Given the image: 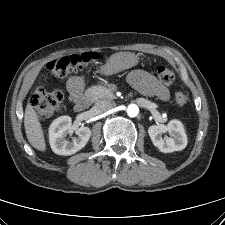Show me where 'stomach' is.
<instances>
[{
    "label": "stomach",
    "instance_id": "stomach-1",
    "mask_svg": "<svg viewBox=\"0 0 225 225\" xmlns=\"http://www.w3.org/2000/svg\"><path fill=\"white\" fill-rule=\"evenodd\" d=\"M137 63L138 57L134 53H115L100 68V73L103 75H113L137 65Z\"/></svg>",
    "mask_w": 225,
    "mask_h": 225
}]
</instances>
